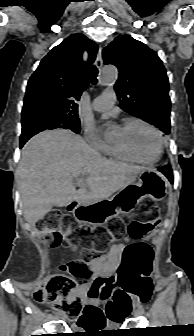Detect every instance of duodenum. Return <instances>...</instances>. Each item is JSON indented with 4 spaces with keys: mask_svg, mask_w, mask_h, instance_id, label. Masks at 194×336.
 Masks as SVG:
<instances>
[{
    "mask_svg": "<svg viewBox=\"0 0 194 336\" xmlns=\"http://www.w3.org/2000/svg\"><path fill=\"white\" fill-rule=\"evenodd\" d=\"M75 206V203H72L69 208L72 209Z\"/></svg>",
    "mask_w": 194,
    "mask_h": 336,
    "instance_id": "410a0bca",
    "label": "duodenum"
}]
</instances>
